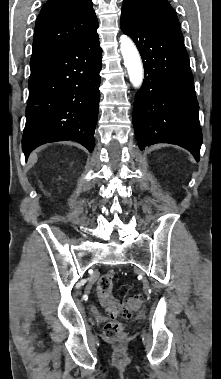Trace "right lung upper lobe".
<instances>
[{
  "instance_id": "obj_1",
  "label": "right lung upper lobe",
  "mask_w": 221,
  "mask_h": 379,
  "mask_svg": "<svg viewBox=\"0 0 221 379\" xmlns=\"http://www.w3.org/2000/svg\"><path fill=\"white\" fill-rule=\"evenodd\" d=\"M97 26L91 0H48L36 20L31 59L76 43Z\"/></svg>"
}]
</instances>
